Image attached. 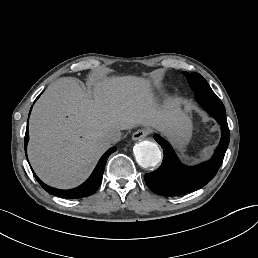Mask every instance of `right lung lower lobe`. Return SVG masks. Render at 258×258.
Instances as JSON below:
<instances>
[{"instance_id": "right-lung-lower-lobe-1", "label": "right lung lower lobe", "mask_w": 258, "mask_h": 258, "mask_svg": "<svg viewBox=\"0 0 258 258\" xmlns=\"http://www.w3.org/2000/svg\"><path fill=\"white\" fill-rule=\"evenodd\" d=\"M39 96L36 98V100L39 98ZM28 140H29V135H28V125H27L26 134H25V152H26ZM115 151H116V147H112L107 152H105L104 155L99 160V162H98L97 166L95 167L94 171L92 172L91 176L82 185H80L74 189L60 190V189L50 187V186L44 184L35 175L34 172H33V174H34L35 178L37 179V181L40 183V185L51 195L59 196V197L66 198V199H76V198L87 197V196H90L93 193H95L97 191V189L99 188L101 181H102V176H103V172L105 169L107 159H108L109 155Z\"/></svg>"}]
</instances>
